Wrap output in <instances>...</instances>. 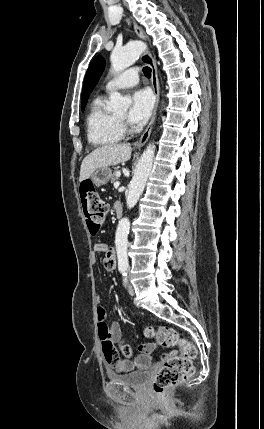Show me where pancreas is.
<instances>
[{"label": "pancreas", "instance_id": "cf45deb5", "mask_svg": "<svg viewBox=\"0 0 264 429\" xmlns=\"http://www.w3.org/2000/svg\"><path fill=\"white\" fill-rule=\"evenodd\" d=\"M117 180H118L117 170H115L114 173L111 175V182H115Z\"/></svg>", "mask_w": 264, "mask_h": 429}]
</instances>
